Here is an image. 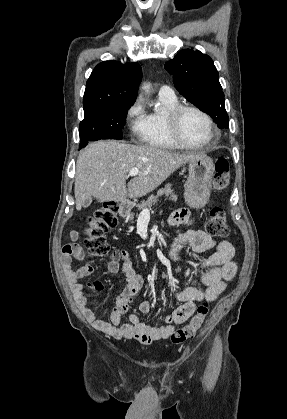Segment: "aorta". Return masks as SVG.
Listing matches in <instances>:
<instances>
[{"label": "aorta", "mask_w": 287, "mask_h": 419, "mask_svg": "<svg viewBox=\"0 0 287 419\" xmlns=\"http://www.w3.org/2000/svg\"><path fill=\"white\" fill-rule=\"evenodd\" d=\"M143 90H145L146 92H148L150 90V84H144L142 86Z\"/></svg>", "instance_id": "aorta-1"}]
</instances>
